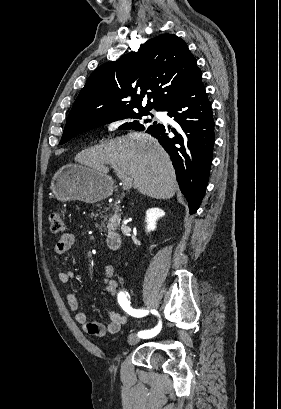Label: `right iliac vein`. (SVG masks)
<instances>
[{
    "instance_id": "1",
    "label": "right iliac vein",
    "mask_w": 281,
    "mask_h": 409,
    "mask_svg": "<svg viewBox=\"0 0 281 409\" xmlns=\"http://www.w3.org/2000/svg\"><path fill=\"white\" fill-rule=\"evenodd\" d=\"M139 341H140V338L137 337L135 334L130 335L129 338H128V343H129L130 345H135V344H137Z\"/></svg>"
}]
</instances>
